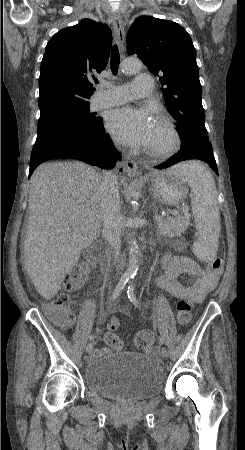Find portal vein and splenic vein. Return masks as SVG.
<instances>
[{"label": "portal vein and splenic vein", "mask_w": 245, "mask_h": 450, "mask_svg": "<svg viewBox=\"0 0 245 450\" xmlns=\"http://www.w3.org/2000/svg\"><path fill=\"white\" fill-rule=\"evenodd\" d=\"M188 210H189V207H188L187 205L183 206L182 211H183L184 213H188ZM172 214H173V215H177L178 212H177V211H173ZM155 220H156L157 222H159V221L163 220V217L157 215V216H155ZM67 230L70 231V229H67Z\"/></svg>", "instance_id": "obj_1"}]
</instances>
